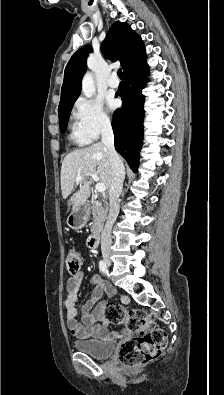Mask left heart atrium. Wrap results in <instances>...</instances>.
<instances>
[{
	"label": "left heart atrium",
	"instance_id": "39dd6f15",
	"mask_svg": "<svg viewBox=\"0 0 224 395\" xmlns=\"http://www.w3.org/2000/svg\"><path fill=\"white\" fill-rule=\"evenodd\" d=\"M107 106L110 110H114L117 107V101L113 98H108Z\"/></svg>",
	"mask_w": 224,
	"mask_h": 395
}]
</instances>
